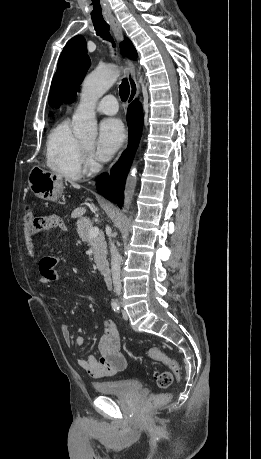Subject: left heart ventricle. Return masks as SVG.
Listing matches in <instances>:
<instances>
[{"mask_svg": "<svg viewBox=\"0 0 261 459\" xmlns=\"http://www.w3.org/2000/svg\"><path fill=\"white\" fill-rule=\"evenodd\" d=\"M84 145H85L86 147H90V146L92 145V142H86Z\"/></svg>", "mask_w": 261, "mask_h": 459, "instance_id": "obj_1", "label": "left heart ventricle"}]
</instances>
